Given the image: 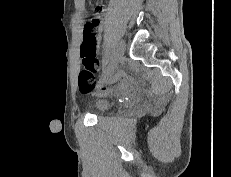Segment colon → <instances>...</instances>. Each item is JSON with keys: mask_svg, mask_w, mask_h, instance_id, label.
I'll return each instance as SVG.
<instances>
[{"mask_svg": "<svg viewBox=\"0 0 231 177\" xmlns=\"http://www.w3.org/2000/svg\"><path fill=\"white\" fill-rule=\"evenodd\" d=\"M97 32L92 24H86L83 32V42L80 49V57L83 63L78 78L79 90L82 93L92 92L97 88L95 73L98 70V60L96 57ZM100 92L107 91L106 87H100Z\"/></svg>", "mask_w": 231, "mask_h": 177, "instance_id": "obj_1", "label": "colon"}]
</instances>
